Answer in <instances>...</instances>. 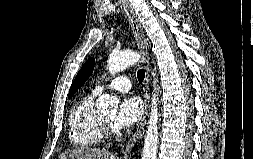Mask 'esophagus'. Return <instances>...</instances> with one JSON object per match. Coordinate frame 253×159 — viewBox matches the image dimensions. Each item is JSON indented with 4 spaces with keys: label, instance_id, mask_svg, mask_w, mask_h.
Segmentation results:
<instances>
[{
    "label": "esophagus",
    "instance_id": "34e87169",
    "mask_svg": "<svg viewBox=\"0 0 253 159\" xmlns=\"http://www.w3.org/2000/svg\"><path fill=\"white\" fill-rule=\"evenodd\" d=\"M120 7L122 11L124 12L126 18L128 19L135 41L137 43L138 48L140 49L141 53L145 57L146 62V75H145V81H144V114L142 116L141 122L134 132V134L131 136V138L128 140L125 150H124V159H128L129 155L132 152V149L136 145V143L143 137L144 135V129L147 122V116L149 111V101H150V79H149V63H150V56L148 47L145 41V36L143 29L141 27V24L138 22L137 18H135L128 6V3L123 0H118Z\"/></svg>",
    "mask_w": 253,
    "mask_h": 159
}]
</instances>
